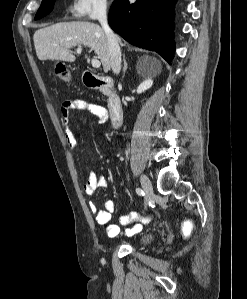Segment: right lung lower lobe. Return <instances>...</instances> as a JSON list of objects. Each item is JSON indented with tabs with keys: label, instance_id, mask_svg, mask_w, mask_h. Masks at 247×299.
<instances>
[{
	"label": "right lung lower lobe",
	"instance_id": "obj_1",
	"mask_svg": "<svg viewBox=\"0 0 247 299\" xmlns=\"http://www.w3.org/2000/svg\"><path fill=\"white\" fill-rule=\"evenodd\" d=\"M176 0H115L109 25L129 43L156 51L169 64L174 55V15Z\"/></svg>",
	"mask_w": 247,
	"mask_h": 299
}]
</instances>
